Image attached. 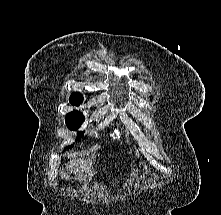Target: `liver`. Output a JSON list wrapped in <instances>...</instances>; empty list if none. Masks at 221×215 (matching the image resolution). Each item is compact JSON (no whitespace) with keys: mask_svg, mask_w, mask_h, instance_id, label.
<instances>
[{"mask_svg":"<svg viewBox=\"0 0 221 215\" xmlns=\"http://www.w3.org/2000/svg\"><path fill=\"white\" fill-rule=\"evenodd\" d=\"M66 169L68 174H75L76 180H82L83 176L91 178L95 174L92 170V161L75 156L66 164Z\"/></svg>","mask_w":221,"mask_h":215,"instance_id":"6515ba94","label":"liver"}]
</instances>
